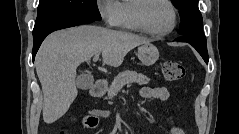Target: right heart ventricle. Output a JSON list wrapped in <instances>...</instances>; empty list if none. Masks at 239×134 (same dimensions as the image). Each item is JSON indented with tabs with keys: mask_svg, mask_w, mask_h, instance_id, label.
Masks as SVG:
<instances>
[{
	"mask_svg": "<svg viewBox=\"0 0 239 134\" xmlns=\"http://www.w3.org/2000/svg\"><path fill=\"white\" fill-rule=\"evenodd\" d=\"M138 0H124L119 2V19L117 26L127 31H139L134 16L133 9Z\"/></svg>",
	"mask_w": 239,
	"mask_h": 134,
	"instance_id": "1",
	"label": "right heart ventricle"
}]
</instances>
